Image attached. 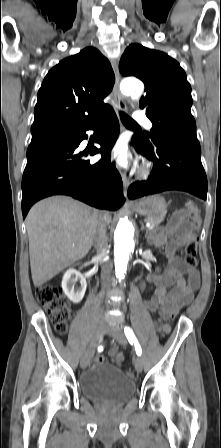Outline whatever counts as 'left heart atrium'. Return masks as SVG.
<instances>
[{
    "instance_id": "39dd6f15",
    "label": "left heart atrium",
    "mask_w": 221,
    "mask_h": 448,
    "mask_svg": "<svg viewBox=\"0 0 221 448\" xmlns=\"http://www.w3.org/2000/svg\"><path fill=\"white\" fill-rule=\"evenodd\" d=\"M110 157L121 167L128 168L132 157L123 143H117L109 152Z\"/></svg>"
}]
</instances>
